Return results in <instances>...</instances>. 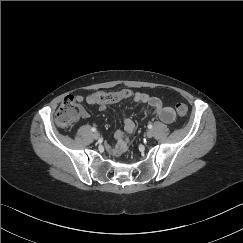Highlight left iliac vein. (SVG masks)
<instances>
[{"instance_id": "obj_1", "label": "left iliac vein", "mask_w": 243, "mask_h": 243, "mask_svg": "<svg viewBox=\"0 0 243 243\" xmlns=\"http://www.w3.org/2000/svg\"><path fill=\"white\" fill-rule=\"evenodd\" d=\"M146 137H147V138H152V137H153V132L149 130V131L146 133Z\"/></svg>"}]
</instances>
